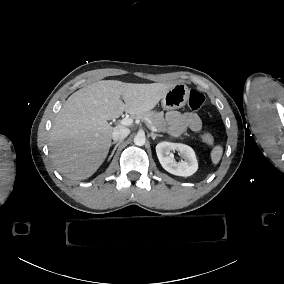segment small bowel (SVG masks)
<instances>
[{"label": "small bowel", "mask_w": 284, "mask_h": 284, "mask_svg": "<svg viewBox=\"0 0 284 284\" xmlns=\"http://www.w3.org/2000/svg\"><path fill=\"white\" fill-rule=\"evenodd\" d=\"M165 118L169 124L172 135H180L187 130L199 132L202 129V123L198 115L192 111H168Z\"/></svg>", "instance_id": "obj_1"}]
</instances>
